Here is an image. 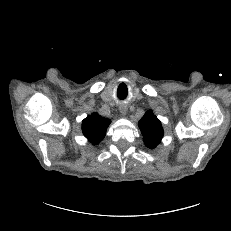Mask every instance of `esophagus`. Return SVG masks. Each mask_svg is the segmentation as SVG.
I'll return each mask as SVG.
<instances>
[{
	"instance_id": "34e87169",
	"label": "esophagus",
	"mask_w": 231,
	"mask_h": 231,
	"mask_svg": "<svg viewBox=\"0 0 231 231\" xmlns=\"http://www.w3.org/2000/svg\"><path fill=\"white\" fill-rule=\"evenodd\" d=\"M120 113L124 116L127 113V106L126 105H120L119 107Z\"/></svg>"
}]
</instances>
